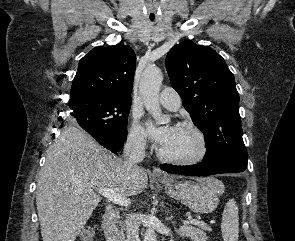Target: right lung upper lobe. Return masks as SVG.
<instances>
[{
    "instance_id": "cb5924a9",
    "label": "right lung upper lobe",
    "mask_w": 295,
    "mask_h": 241,
    "mask_svg": "<svg viewBox=\"0 0 295 241\" xmlns=\"http://www.w3.org/2000/svg\"><path fill=\"white\" fill-rule=\"evenodd\" d=\"M135 67L136 55L129 46L92 49L79 62L69 104L91 98L131 101Z\"/></svg>"
}]
</instances>
